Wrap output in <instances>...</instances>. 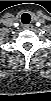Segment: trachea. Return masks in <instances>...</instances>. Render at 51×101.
Instances as JSON below:
<instances>
[{
  "mask_svg": "<svg viewBox=\"0 0 51 101\" xmlns=\"http://www.w3.org/2000/svg\"><path fill=\"white\" fill-rule=\"evenodd\" d=\"M21 21L23 24H29L31 21V16L28 13H23L21 16Z\"/></svg>",
  "mask_w": 51,
  "mask_h": 101,
  "instance_id": "3493384b",
  "label": "trachea"
}]
</instances>
